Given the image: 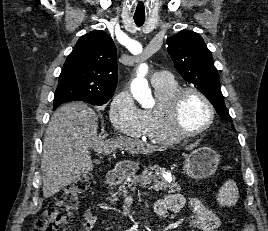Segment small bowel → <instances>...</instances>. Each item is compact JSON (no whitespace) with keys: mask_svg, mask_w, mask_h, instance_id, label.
Listing matches in <instances>:
<instances>
[{"mask_svg":"<svg viewBox=\"0 0 268 231\" xmlns=\"http://www.w3.org/2000/svg\"><path fill=\"white\" fill-rule=\"evenodd\" d=\"M184 207L192 211L189 222L198 231H217L219 218L210 204L203 198L185 197L181 194H167L163 199L156 202L154 210L159 215L168 212H179ZM96 217L91 209H86L83 214L81 231H92Z\"/></svg>","mask_w":268,"mask_h":231,"instance_id":"1","label":"small bowel"}]
</instances>
